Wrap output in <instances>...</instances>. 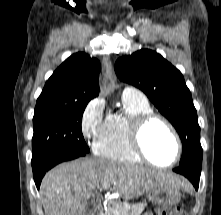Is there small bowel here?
I'll use <instances>...</instances> for the list:
<instances>
[{"mask_svg":"<svg viewBox=\"0 0 221 215\" xmlns=\"http://www.w3.org/2000/svg\"><path fill=\"white\" fill-rule=\"evenodd\" d=\"M144 215H153V214H151V213H146V214H144Z\"/></svg>","mask_w":221,"mask_h":215,"instance_id":"c3829d8e","label":"small bowel"}]
</instances>
